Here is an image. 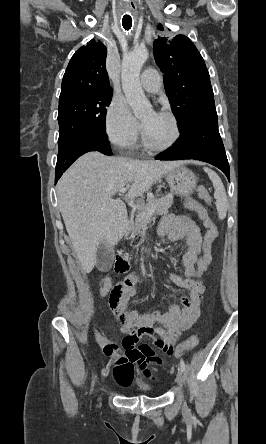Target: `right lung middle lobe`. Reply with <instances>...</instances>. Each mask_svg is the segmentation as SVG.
<instances>
[{"mask_svg": "<svg viewBox=\"0 0 266 444\" xmlns=\"http://www.w3.org/2000/svg\"><path fill=\"white\" fill-rule=\"evenodd\" d=\"M111 99L112 90H105L59 101L58 154L83 137L94 134L106 136V106Z\"/></svg>", "mask_w": 266, "mask_h": 444, "instance_id": "dd1d6c3e", "label": "right lung middle lobe"}]
</instances>
